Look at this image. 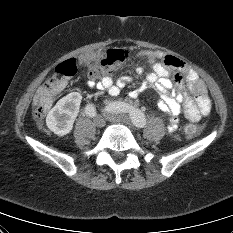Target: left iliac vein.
Returning <instances> with one entry per match:
<instances>
[{
  "label": "left iliac vein",
  "instance_id": "left-iliac-vein-1",
  "mask_svg": "<svg viewBox=\"0 0 233 233\" xmlns=\"http://www.w3.org/2000/svg\"><path fill=\"white\" fill-rule=\"evenodd\" d=\"M103 115L108 121L131 126V120L125 114H117V113H113V112H110V111L105 109V111L103 112Z\"/></svg>",
  "mask_w": 233,
  "mask_h": 233
}]
</instances>
